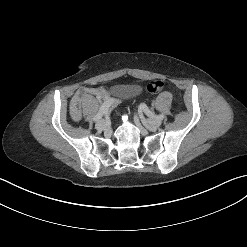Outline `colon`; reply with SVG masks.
<instances>
[{
	"mask_svg": "<svg viewBox=\"0 0 247 247\" xmlns=\"http://www.w3.org/2000/svg\"><path fill=\"white\" fill-rule=\"evenodd\" d=\"M164 87L163 82L161 81H151L147 85V89L150 93L156 94L159 93Z\"/></svg>",
	"mask_w": 247,
	"mask_h": 247,
	"instance_id": "colon-1",
	"label": "colon"
}]
</instances>
